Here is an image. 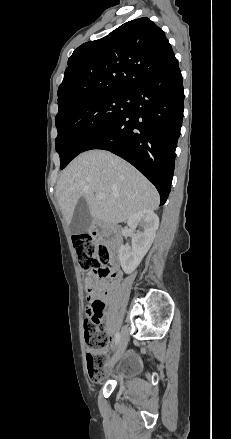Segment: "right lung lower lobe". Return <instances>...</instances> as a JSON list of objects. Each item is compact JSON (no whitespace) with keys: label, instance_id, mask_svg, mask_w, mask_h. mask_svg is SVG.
I'll return each mask as SVG.
<instances>
[{"label":"right lung lower lobe","instance_id":"98d812e1","mask_svg":"<svg viewBox=\"0 0 231 439\" xmlns=\"http://www.w3.org/2000/svg\"><path fill=\"white\" fill-rule=\"evenodd\" d=\"M183 102L182 75L175 59L131 94L129 110L83 152L108 150L131 163L155 185L162 205L171 190Z\"/></svg>","mask_w":231,"mask_h":439}]
</instances>
